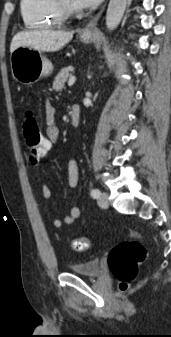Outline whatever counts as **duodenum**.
Returning <instances> with one entry per match:
<instances>
[{
    "label": "duodenum",
    "mask_w": 171,
    "mask_h": 337,
    "mask_svg": "<svg viewBox=\"0 0 171 337\" xmlns=\"http://www.w3.org/2000/svg\"><path fill=\"white\" fill-rule=\"evenodd\" d=\"M71 123L74 127L79 126L80 123V107L78 105H73L71 107Z\"/></svg>",
    "instance_id": "obj_1"
}]
</instances>
